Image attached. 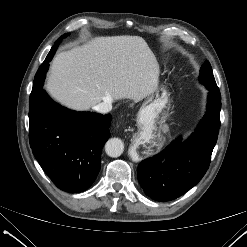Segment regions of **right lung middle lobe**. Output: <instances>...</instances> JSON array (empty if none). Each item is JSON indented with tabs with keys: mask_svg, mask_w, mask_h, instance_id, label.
Segmentation results:
<instances>
[{
	"mask_svg": "<svg viewBox=\"0 0 247 247\" xmlns=\"http://www.w3.org/2000/svg\"><path fill=\"white\" fill-rule=\"evenodd\" d=\"M68 34H64L62 35L54 44V46L51 48L50 52L48 53L46 59L44 60V62L40 65L34 81H33V88H32V92L29 98V103L33 102L35 98H37V96L40 94L41 90H42V86H43V82L46 76V72L48 70V62L52 60L53 55L56 51V48L58 47L59 43L62 41L63 38H65Z\"/></svg>",
	"mask_w": 247,
	"mask_h": 247,
	"instance_id": "dd1d6c3e",
	"label": "right lung middle lobe"
}]
</instances>
